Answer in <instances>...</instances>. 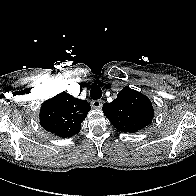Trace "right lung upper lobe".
Listing matches in <instances>:
<instances>
[{
    "instance_id": "obj_1",
    "label": "right lung upper lobe",
    "mask_w": 196,
    "mask_h": 196,
    "mask_svg": "<svg viewBox=\"0 0 196 196\" xmlns=\"http://www.w3.org/2000/svg\"><path fill=\"white\" fill-rule=\"evenodd\" d=\"M91 107L86 100L62 92L45 101L40 110V125L58 137L77 134Z\"/></svg>"
}]
</instances>
